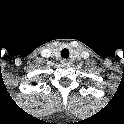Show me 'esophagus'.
Returning <instances> with one entry per match:
<instances>
[{
    "mask_svg": "<svg viewBox=\"0 0 124 124\" xmlns=\"http://www.w3.org/2000/svg\"><path fill=\"white\" fill-rule=\"evenodd\" d=\"M61 62L64 63V64H70V60L69 59H62Z\"/></svg>",
    "mask_w": 124,
    "mask_h": 124,
    "instance_id": "obj_1",
    "label": "esophagus"
}]
</instances>
